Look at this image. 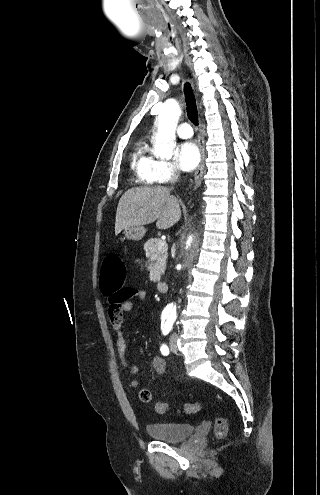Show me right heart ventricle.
<instances>
[{
  "instance_id": "e07e8e85",
  "label": "right heart ventricle",
  "mask_w": 320,
  "mask_h": 495,
  "mask_svg": "<svg viewBox=\"0 0 320 495\" xmlns=\"http://www.w3.org/2000/svg\"><path fill=\"white\" fill-rule=\"evenodd\" d=\"M155 159L153 158L147 142H140L131 158V168L134 172L136 180L145 185H150L154 182Z\"/></svg>"
}]
</instances>
